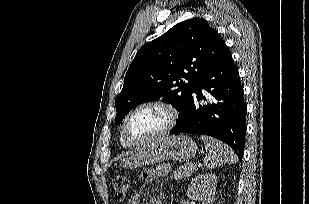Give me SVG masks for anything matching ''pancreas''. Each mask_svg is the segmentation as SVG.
<instances>
[{"label":"pancreas","mask_w":309,"mask_h":204,"mask_svg":"<svg viewBox=\"0 0 309 204\" xmlns=\"http://www.w3.org/2000/svg\"><path fill=\"white\" fill-rule=\"evenodd\" d=\"M196 170H197L196 165H193L191 163L184 164L180 166L176 171H174V173L172 174V178L175 180H181L185 177H189Z\"/></svg>","instance_id":"obj_1"}]
</instances>
